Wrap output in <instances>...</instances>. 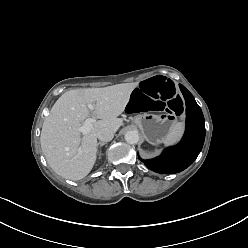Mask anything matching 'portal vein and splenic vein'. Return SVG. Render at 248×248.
Returning <instances> with one entry per match:
<instances>
[{
	"instance_id": "obj_1",
	"label": "portal vein and splenic vein",
	"mask_w": 248,
	"mask_h": 248,
	"mask_svg": "<svg viewBox=\"0 0 248 248\" xmlns=\"http://www.w3.org/2000/svg\"><path fill=\"white\" fill-rule=\"evenodd\" d=\"M88 108L90 110H94V106L90 103L88 104ZM96 122V119L94 117L92 118H87L84 123L78 128V131L81 132L82 134L88 133L92 128L93 124Z\"/></svg>"
}]
</instances>
